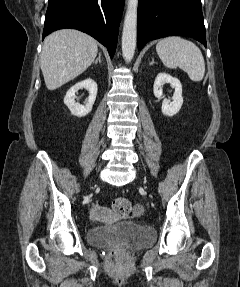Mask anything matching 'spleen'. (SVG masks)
I'll list each match as a JSON object with an SVG mask.
<instances>
[{"instance_id":"spleen-1","label":"spleen","mask_w":240,"mask_h":287,"mask_svg":"<svg viewBox=\"0 0 240 287\" xmlns=\"http://www.w3.org/2000/svg\"><path fill=\"white\" fill-rule=\"evenodd\" d=\"M156 51L163 64L170 69L180 68L192 81L199 82L205 74V62L200 49L181 37L171 36L161 39Z\"/></svg>"}]
</instances>
